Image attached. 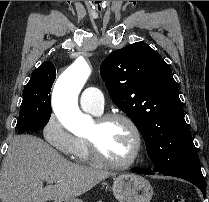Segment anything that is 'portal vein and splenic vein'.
Instances as JSON below:
<instances>
[{
	"instance_id": "obj_1",
	"label": "portal vein and splenic vein",
	"mask_w": 209,
	"mask_h": 202,
	"mask_svg": "<svg viewBox=\"0 0 209 202\" xmlns=\"http://www.w3.org/2000/svg\"><path fill=\"white\" fill-rule=\"evenodd\" d=\"M45 181L47 183H56L57 182L55 179H52V178H47Z\"/></svg>"
}]
</instances>
